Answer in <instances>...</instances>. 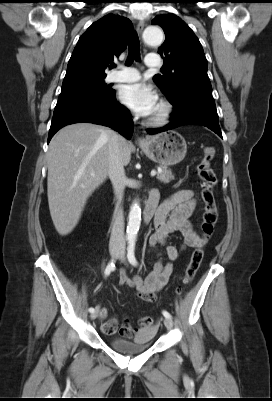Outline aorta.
Wrapping results in <instances>:
<instances>
[{"label": "aorta", "mask_w": 272, "mask_h": 401, "mask_svg": "<svg viewBox=\"0 0 272 401\" xmlns=\"http://www.w3.org/2000/svg\"><path fill=\"white\" fill-rule=\"evenodd\" d=\"M163 31L160 27L149 26L143 32V39L149 45H160L163 42ZM141 224V208L137 201L130 207L127 224V239L135 241Z\"/></svg>", "instance_id": "762f6f07"}]
</instances>
